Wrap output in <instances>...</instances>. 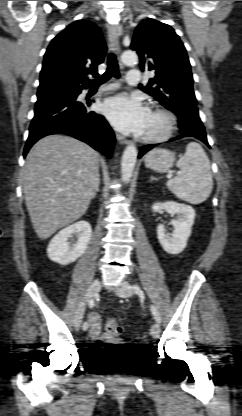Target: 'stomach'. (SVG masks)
<instances>
[{
	"instance_id": "0dacf381",
	"label": "stomach",
	"mask_w": 242,
	"mask_h": 416,
	"mask_svg": "<svg viewBox=\"0 0 242 416\" xmlns=\"http://www.w3.org/2000/svg\"><path fill=\"white\" fill-rule=\"evenodd\" d=\"M145 165L157 172H166L174 164L175 154L169 150L155 148L145 156Z\"/></svg>"
}]
</instances>
